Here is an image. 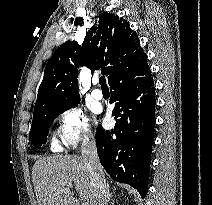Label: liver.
<instances>
[{"label": "liver", "instance_id": "6515ba94", "mask_svg": "<svg viewBox=\"0 0 212 205\" xmlns=\"http://www.w3.org/2000/svg\"><path fill=\"white\" fill-rule=\"evenodd\" d=\"M32 179L38 205H78L69 187L62 183L74 182L79 199L92 205L93 189L90 173L81 156L56 155L37 160Z\"/></svg>", "mask_w": 212, "mask_h": 205}]
</instances>
